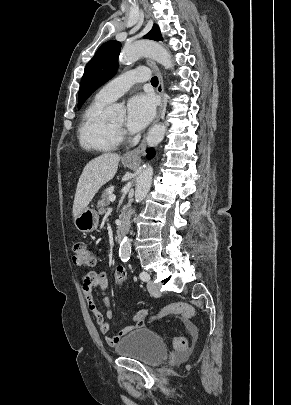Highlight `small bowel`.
<instances>
[{
	"mask_svg": "<svg viewBox=\"0 0 291 405\" xmlns=\"http://www.w3.org/2000/svg\"><path fill=\"white\" fill-rule=\"evenodd\" d=\"M108 288V276L103 270H94L86 272L81 277V289L88 309L98 326L100 333L105 337L108 345L117 344L124 336L129 334L132 330L140 327L143 324L145 317V310H141L134 316V323L114 333L110 332L107 320L114 316V311L111 307L109 297L106 295ZM98 296L102 299L106 307L105 315H103L97 308L95 297Z\"/></svg>",
	"mask_w": 291,
	"mask_h": 405,
	"instance_id": "c3829d8e",
	"label": "small bowel"
}]
</instances>
